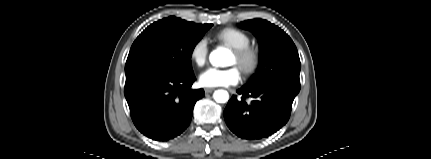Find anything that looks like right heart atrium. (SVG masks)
<instances>
[{"label": "right heart atrium", "mask_w": 431, "mask_h": 159, "mask_svg": "<svg viewBox=\"0 0 431 159\" xmlns=\"http://www.w3.org/2000/svg\"><path fill=\"white\" fill-rule=\"evenodd\" d=\"M208 51L207 40L205 38H200L191 46L189 57L195 65L201 67L206 63Z\"/></svg>", "instance_id": "right-heart-atrium-1"}]
</instances>
